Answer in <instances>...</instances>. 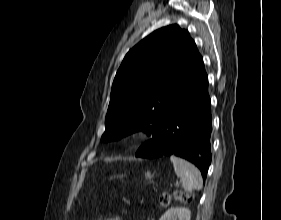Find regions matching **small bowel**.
I'll list each match as a JSON object with an SVG mask.
<instances>
[{
	"instance_id": "1",
	"label": "small bowel",
	"mask_w": 281,
	"mask_h": 220,
	"mask_svg": "<svg viewBox=\"0 0 281 220\" xmlns=\"http://www.w3.org/2000/svg\"><path fill=\"white\" fill-rule=\"evenodd\" d=\"M98 220H109V219H104V218H102V219H98Z\"/></svg>"
}]
</instances>
